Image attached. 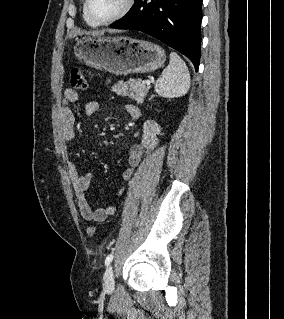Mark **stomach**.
<instances>
[{
	"label": "stomach",
	"instance_id": "stomach-1",
	"mask_svg": "<svg viewBox=\"0 0 284 319\" xmlns=\"http://www.w3.org/2000/svg\"><path fill=\"white\" fill-rule=\"evenodd\" d=\"M74 54L86 65L116 75L150 73L166 59L160 46L130 37H83L77 41Z\"/></svg>",
	"mask_w": 284,
	"mask_h": 319
}]
</instances>
